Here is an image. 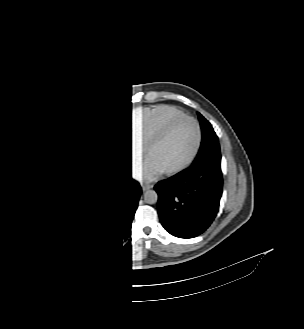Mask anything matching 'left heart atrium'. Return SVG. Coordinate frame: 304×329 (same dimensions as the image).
Listing matches in <instances>:
<instances>
[{
    "instance_id": "1",
    "label": "left heart atrium",
    "mask_w": 304,
    "mask_h": 329,
    "mask_svg": "<svg viewBox=\"0 0 304 329\" xmlns=\"http://www.w3.org/2000/svg\"><path fill=\"white\" fill-rule=\"evenodd\" d=\"M161 173V170H159L151 161L147 160L144 163V166L141 170V176L143 180L151 181L154 178L157 177Z\"/></svg>"
}]
</instances>
